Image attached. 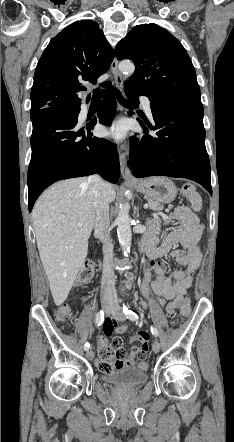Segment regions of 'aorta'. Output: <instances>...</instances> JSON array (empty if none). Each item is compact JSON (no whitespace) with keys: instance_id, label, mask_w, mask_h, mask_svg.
Returning <instances> with one entry per match:
<instances>
[{"instance_id":"obj_1","label":"aorta","mask_w":234,"mask_h":442,"mask_svg":"<svg viewBox=\"0 0 234 442\" xmlns=\"http://www.w3.org/2000/svg\"><path fill=\"white\" fill-rule=\"evenodd\" d=\"M119 70L127 75L130 76L133 74L135 70V66L132 62L129 61H122L119 64ZM117 234L119 243L122 247V250L125 255H127L130 252L131 248V241H132V232H131V218L129 215V208L128 205L125 203L121 208L117 216Z\"/></svg>"}]
</instances>
